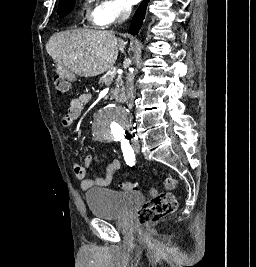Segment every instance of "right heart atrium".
<instances>
[{
    "label": "right heart atrium",
    "instance_id": "obj_1",
    "mask_svg": "<svg viewBox=\"0 0 256 267\" xmlns=\"http://www.w3.org/2000/svg\"><path fill=\"white\" fill-rule=\"evenodd\" d=\"M122 18H124V13L121 11H118L116 14L108 17L102 16L98 10L93 14V22L99 28H108L113 23L121 20Z\"/></svg>",
    "mask_w": 256,
    "mask_h": 267
}]
</instances>
